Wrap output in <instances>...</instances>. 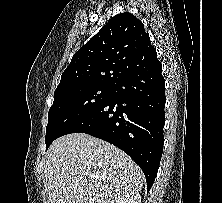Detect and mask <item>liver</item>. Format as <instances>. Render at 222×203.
I'll return each mask as SVG.
<instances>
[{
    "label": "liver",
    "mask_w": 222,
    "mask_h": 203,
    "mask_svg": "<svg viewBox=\"0 0 222 203\" xmlns=\"http://www.w3.org/2000/svg\"><path fill=\"white\" fill-rule=\"evenodd\" d=\"M44 176L50 203H116L138 193L144 182L143 172L125 152L83 133L50 145Z\"/></svg>",
    "instance_id": "1"
}]
</instances>
